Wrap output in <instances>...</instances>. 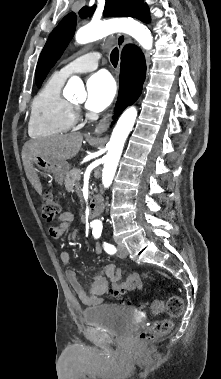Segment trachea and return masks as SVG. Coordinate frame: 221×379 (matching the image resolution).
<instances>
[{
  "mask_svg": "<svg viewBox=\"0 0 221 379\" xmlns=\"http://www.w3.org/2000/svg\"><path fill=\"white\" fill-rule=\"evenodd\" d=\"M119 59V51L117 48H114L110 54V61L114 67L117 66Z\"/></svg>",
  "mask_w": 221,
  "mask_h": 379,
  "instance_id": "3493384b",
  "label": "trachea"
}]
</instances>
